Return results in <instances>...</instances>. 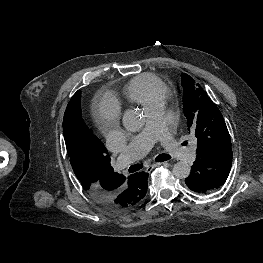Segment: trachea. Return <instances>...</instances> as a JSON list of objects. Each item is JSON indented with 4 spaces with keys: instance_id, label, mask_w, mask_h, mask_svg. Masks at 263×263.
<instances>
[{
    "instance_id": "3493384b",
    "label": "trachea",
    "mask_w": 263,
    "mask_h": 263,
    "mask_svg": "<svg viewBox=\"0 0 263 263\" xmlns=\"http://www.w3.org/2000/svg\"><path fill=\"white\" fill-rule=\"evenodd\" d=\"M171 159V156L168 155V154H160L158 155L156 158H155V161L156 162H163V161H167ZM143 167L142 164H135V165H132L129 167V172L130 173H133V172H136L138 170H140L141 168Z\"/></svg>"
}]
</instances>
